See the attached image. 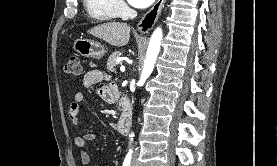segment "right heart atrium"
Wrapping results in <instances>:
<instances>
[{
  "label": "right heart atrium",
  "instance_id": "d8ad5b80",
  "mask_svg": "<svg viewBox=\"0 0 277 166\" xmlns=\"http://www.w3.org/2000/svg\"><path fill=\"white\" fill-rule=\"evenodd\" d=\"M116 4L120 12L126 11V6L121 0H116Z\"/></svg>",
  "mask_w": 277,
  "mask_h": 166
}]
</instances>
